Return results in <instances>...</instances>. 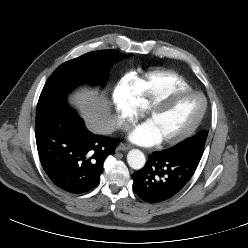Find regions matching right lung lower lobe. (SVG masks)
Wrapping results in <instances>:
<instances>
[{
	"label": "right lung lower lobe",
	"instance_id": "1",
	"mask_svg": "<svg viewBox=\"0 0 248 248\" xmlns=\"http://www.w3.org/2000/svg\"><path fill=\"white\" fill-rule=\"evenodd\" d=\"M35 127L41 164L56 186L73 194L97 186L104 160L119 139L88 131L65 100L38 102Z\"/></svg>",
	"mask_w": 248,
	"mask_h": 248
}]
</instances>
